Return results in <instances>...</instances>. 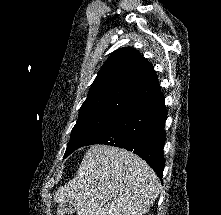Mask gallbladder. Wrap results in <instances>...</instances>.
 <instances>
[{"mask_svg": "<svg viewBox=\"0 0 221 215\" xmlns=\"http://www.w3.org/2000/svg\"><path fill=\"white\" fill-rule=\"evenodd\" d=\"M58 215H71L75 212V208L72 203L59 204L57 208Z\"/></svg>", "mask_w": 221, "mask_h": 215, "instance_id": "obj_1", "label": "gallbladder"}]
</instances>
